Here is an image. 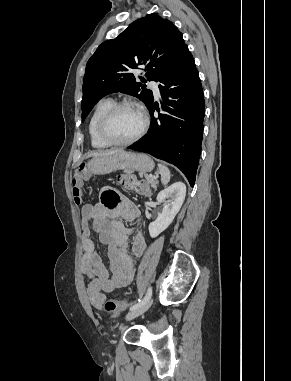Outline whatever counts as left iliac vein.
Masks as SVG:
<instances>
[{
	"instance_id": "4c4485c4",
	"label": "left iliac vein",
	"mask_w": 291,
	"mask_h": 381,
	"mask_svg": "<svg viewBox=\"0 0 291 381\" xmlns=\"http://www.w3.org/2000/svg\"><path fill=\"white\" fill-rule=\"evenodd\" d=\"M152 302H153V300L151 298H149L141 306H139L138 308L129 312L125 317L126 321H130V320L140 316L144 312H146L149 309V307L151 306Z\"/></svg>"
}]
</instances>
